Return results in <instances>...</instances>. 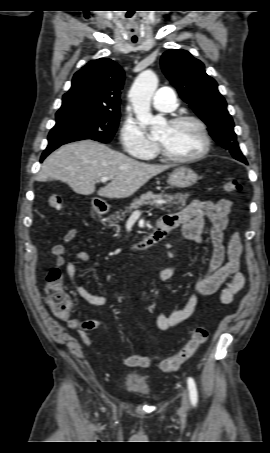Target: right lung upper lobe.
Returning a JSON list of instances; mask_svg holds the SVG:
<instances>
[{"instance_id":"right-lung-upper-lobe-1","label":"right lung upper lobe","mask_w":270,"mask_h":453,"mask_svg":"<svg viewBox=\"0 0 270 453\" xmlns=\"http://www.w3.org/2000/svg\"><path fill=\"white\" fill-rule=\"evenodd\" d=\"M124 79L123 70L114 61L107 58L90 61L75 73L56 117L78 112L120 114Z\"/></svg>"}]
</instances>
